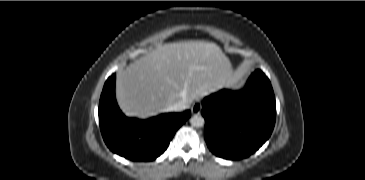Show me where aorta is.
<instances>
[{"label": "aorta", "instance_id": "aorta-1", "mask_svg": "<svg viewBox=\"0 0 365 180\" xmlns=\"http://www.w3.org/2000/svg\"><path fill=\"white\" fill-rule=\"evenodd\" d=\"M190 123L194 127H202L205 123V120L201 115H194L191 117Z\"/></svg>", "mask_w": 365, "mask_h": 180}]
</instances>
